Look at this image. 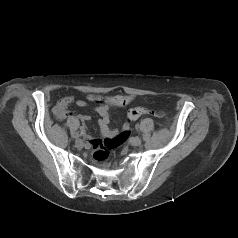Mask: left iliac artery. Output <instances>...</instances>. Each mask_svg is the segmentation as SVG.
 <instances>
[{
  "label": "left iliac artery",
  "instance_id": "1",
  "mask_svg": "<svg viewBox=\"0 0 238 238\" xmlns=\"http://www.w3.org/2000/svg\"><path fill=\"white\" fill-rule=\"evenodd\" d=\"M143 138H144L146 141H149V140H150V137H149L148 134H144V135H143Z\"/></svg>",
  "mask_w": 238,
  "mask_h": 238
}]
</instances>
